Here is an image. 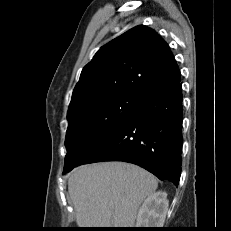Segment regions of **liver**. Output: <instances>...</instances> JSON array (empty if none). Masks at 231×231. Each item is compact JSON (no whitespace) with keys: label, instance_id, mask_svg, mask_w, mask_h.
<instances>
[{"label":"liver","instance_id":"1","mask_svg":"<svg viewBox=\"0 0 231 231\" xmlns=\"http://www.w3.org/2000/svg\"><path fill=\"white\" fill-rule=\"evenodd\" d=\"M157 187L152 174L125 162L83 165L68 179L81 228H133L141 203Z\"/></svg>","mask_w":231,"mask_h":231}]
</instances>
